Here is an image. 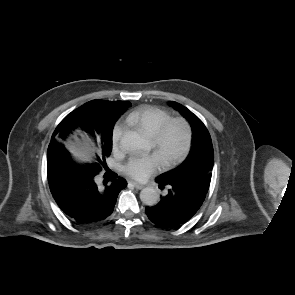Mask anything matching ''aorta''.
Masks as SVG:
<instances>
[{
	"instance_id": "762f6f07",
	"label": "aorta",
	"mask_w": 295,
	"mask_h": 295,
	"mask_svg": "<svg viewBox=\"0 0 295 295\" xmlns=\"http://www.w3.org/2000/svg\"><path fill=\"white\" fill-rule=\"evenodd\" d=\"M121 146L128 151H138L145 147V139L135 131L126 132L120 141ZM140 199L147 206H154L159 202V194L156 189L146 187L140 192Z\"/></svg>"
}]
</instances>
